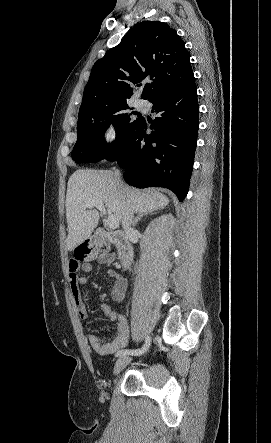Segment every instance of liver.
<instances>
[{"label":"liver","mask_w":271,"mask_h":443,"mask_svg":"<svg viewBox=\"0 0 271 443\" xmlns=\"http://www.w3.org/2000/svg\"><path fill=\"white\" fill-rule=\"evenodd\" d=\"M113 172L109 170H76L68 180L66 194L67 243L69 251L90 237L99 222V212L85 204L101 200L108 214L123 222L126 212L133 210L151 212L168 206L170 200L161 192L136 190L125 186L126 192H119Z\"/></svg>","instance_id":"1"}]
</instances>
